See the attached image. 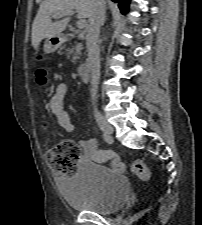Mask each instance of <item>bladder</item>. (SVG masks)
Instances as JSON below:
<instances>
[{
	"instance_id": "31cf9c89",
	"label": "bladder",
	"mask_w": 202,
	"mask_h": 225,
	"mask_svg": "<svg viewBox=\"0 0 202 225\" xmlns=\"http://www.w3.org/2000/svg\"><path fill=\"white\" fill-rule=\"evenodd\" d=\"M69 207L83 212L113 214L123 208L129 197V180L106 165L85 162L60 182Z\"/></svg>"
}]
</instances>
